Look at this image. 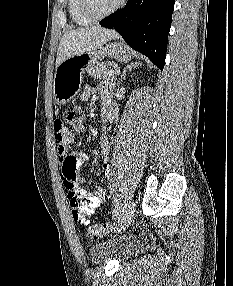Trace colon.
I'll return each instance as SVG.
<instances>
[{
	"instance_id": "colon-1",
	"label": "colon",
	"mask_w": 233,
	"mask_h": 286,
	"mask_svg": "<svg viewBox=\"0 0 233 286\" xmlns=\"http://www.w3.org/2000/svg\"><path fill=\"white\" fill-rule=\"evenodd\" d=\"M64 123L71 127L72 129L79 131L82 128L84 113L80 107H73L68 109L63 114ZM68 198L70 206L75 210L82 205V200L78 195L71 191L68 193ZM110 230V225L108 223H98L89 226L85 231V236L88 240H96L104 236Z\"/></svg>"
}]
</instances>
